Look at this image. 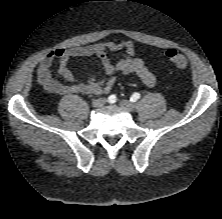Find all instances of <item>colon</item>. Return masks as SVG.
<instances>
[{
    "mask_svg": "<svg viewBox=\"0 0 222 219\" xmlns=\"http://www.w3.org/2000/svg\"><path fill=\"white\" fill-rule=\"evenodd\" d=\"M166 59L179 69H185L188 66V60L181 52L170 49L165 52Z\"/></svg>",
    "mask_w": 222,
    "mask_h": 219,
    "instance_id": "obj_1",
    "label": "colon"
}]
</instances>
